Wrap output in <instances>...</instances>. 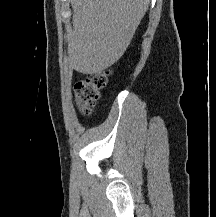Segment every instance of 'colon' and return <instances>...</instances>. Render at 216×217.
I'll use <instances>...</instances> for the list:
<instances>
[{
  "instance_id": "colon-1",
  "label": "colon",
  "mask_w": 216,
  "mask_h": 217,
  "mask_svg": "<svg viewBox=\"0 0 216 217\" xmlns=\"http://www.w3.org/2000/svg\"><path fill=\"white\" fill-rule=\"evenodd\" d=\"M110 73L94 72L75 85V99L82 115L91 113L99 99L100 91L106 86Z\"/></svg>"
}]
</instances>
